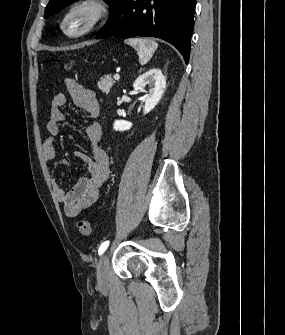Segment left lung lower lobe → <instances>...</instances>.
I'll return each instance as SVG.
<instances>
[{
	"mask_svg": "<svg viewBox=\"0 0 285 335\" xmlns=\"http://www.w3.org/2000/svg\"><path fill=\"white\" fill-rule=\"evenodd\" d=\"M195 0H120L96 39L119 35L156 37L174 45L186 63Z\"/></svg>",
	"mask_w": 285,
	"mask_h": 335,
	"instance_id": "0a47b994",
	"label": "left lung lower lobe"
}]
</instances>
